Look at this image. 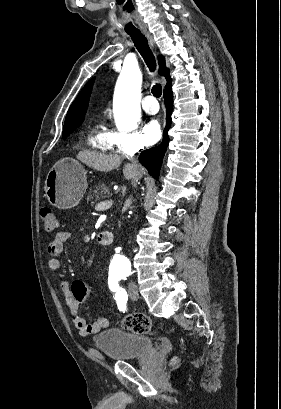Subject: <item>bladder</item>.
Segmentation results:
<instances>
[{"label": "bladder", "instance_id": "1", "mask_svg": "<svg viewBox=\"0 0 281 409\" xmlns=\"http://www.w3.org/2000/svg\"><path fill=\"white\" fill-rule=\"evenodd\" d=\"M94 348L107 359L126 361L138 355H156V348L148 335L135 334L120 327H110L93 336Z\"/></svg>", "mask_w": 281, "mask_h": 409}]
</instances>
